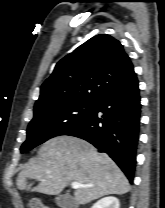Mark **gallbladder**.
Listing matches in <instances>:
<instances>
[{"label":"gallbladder","instance_id":"bac80fb5","mask_svg":"<svg viewBox=\"0 0 165 208\" xmlns=\"http://www.w3.org/2000/svg\"><path fill=\"white\" fill-rule=\"evenodd\" d=\"M55 202L60 208H77L76 201L69 194L58 195Z\"/></svg>","mask_w":165,"mask_h":208}]
</instances>
